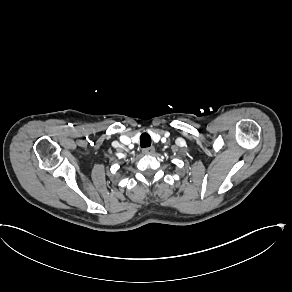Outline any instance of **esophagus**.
I'll use <instances>...</instances> for the list:
<instances>
[{"label": "esophagus", "mask_w": 292, "mask_h": 292, "mask_svg": "<svg viewBox=\"0 0 292 292\" xmlns=\"http://www.w3.org/2000/svg\"><path fill=\"white\" fill-rule=\"evenodd\" d=\"M142 153L145 155H152L155 153V148L153 146L146 147V148L142 149Z\"/></svg>", "instance_id": "obj_1"}]
</instances>
